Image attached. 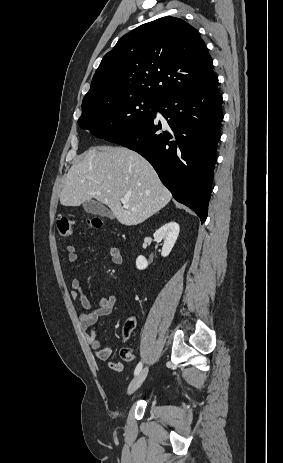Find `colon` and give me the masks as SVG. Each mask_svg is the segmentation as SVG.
I'll return each instance as SVG.
<instances>
[{
    "label": "colon",
    "mask_w": 283,
    "mask_h": 463,
    "mask_svg": "<svg viewBox=\"0 0 283 463\" xmlns=\"http://www.w3.org/2000/svg\"><path fill=\"white\" fill-rule=\"evenodd\" d=\"M87 225L93 229H100L103 226V222L98 218L88 219ZM58 232L63 237H69L72 234V220L69 217H61L57 220ZM134 325L133 321H129L126 324L124 334L127 335ZM121 356L125 361H132L135 354L132 349L123 347L121 349Z\"/></svg>",
    "instance_id": "obj_1"
}]
</instances>
